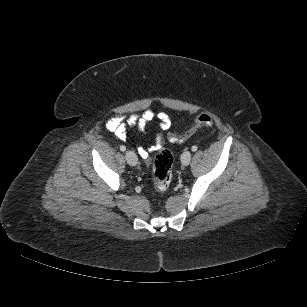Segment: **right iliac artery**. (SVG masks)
I'll use <instances>...</instances> for the list:
<instances>
[{
	"instance_id": "obj_1",
	"label": "right iliac artery",
	"mask_w": 307,
	"mask_h": 307,
	"mask_svg": "<svg viewBox=\"0 0 307 307\" xmlns=\"http://www.w3.org/2000/svg\"><path fill=\"white\" fill-rule=\"evenodd\" d=\"M120 150H121V151H125V150H126V147L123 146V145H121V146H120Z\"/></svg>"
}]
</instances>
